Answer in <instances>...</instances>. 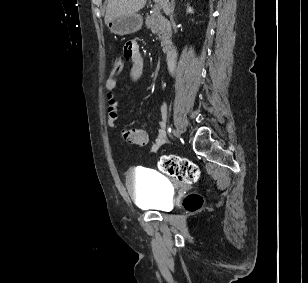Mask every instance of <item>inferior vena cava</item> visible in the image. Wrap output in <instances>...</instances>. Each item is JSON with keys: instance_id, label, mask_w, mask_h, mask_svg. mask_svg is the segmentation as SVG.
<instances>
[{"instance_id": "602c4592", "label": "inferior vena cava", "mask_w": 308, "mask_h": 283, "mask_svg": "<svg viewBox=\"0 0 308 283\" xmlns=\"http://www.w3.org/2000/svg\"><path fill=\"white\" fill-rule=\"evenodd\" d=\"M163 9H164L165 13L170 16V18H168V24L172 26L174 24V21H173V11L174 10H172L171 4L166 3L164 5ZM170 29H172V28H170ZM170 33H173V32H170Z\"/></svg>"}]
</instances>
